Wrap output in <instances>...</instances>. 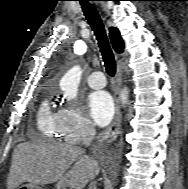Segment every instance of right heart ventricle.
I'll list each match as a JSON object with an SVG mask.
<instances>
[{"label": "right heart ventricle", "instance_id": "obj_1", "mask_svg": "<svg viewBox=\"0 0 188 189\" xmlns=\"http://www.w3.org/2000/svg\"><path fill=\"white\" fill-rule=\"evenodd\" d=\"M37 126L43 137L57 139L63 136L58 113L53 111L48 98H45L37 113Z\"/></svg>", "mask_w": 188, "mask_h": 189}]
</instances>
